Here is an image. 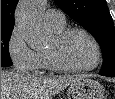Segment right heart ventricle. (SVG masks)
<instances>
[{
  "label": "right heart ventricle",
  "mask_w": 115,
  "mask_h": 99,
  "mask_svg": "<svg viewBox=\"0 0 115 99\" xmlns=\"http://www.w3.org/2000/svg\"><path fill=\"white\" fill-rule=\"evenodd\" d=\"M51 29L55 32V33H58L60 32L61 30L64 29V26L62 27H51ZM38 55H39V65H38V68H41V69H47V68H50L49 66V63H48V60H47V57H46V54H45V51H42V52H38ZM37 68V69H38Z\"/></svg>",
  "instance_id": "obj_1"
}]
</instances>
